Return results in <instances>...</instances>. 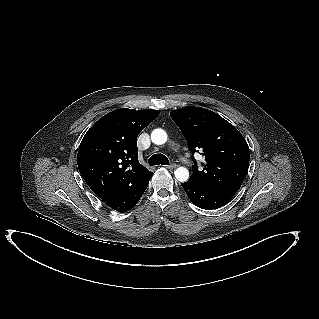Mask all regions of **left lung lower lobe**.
Wrapping results in <instances>:
<instances>
[{
  "label": "left lung lower lobe",
  "instance_id": "1",
  "mask_svg": "<svg viewBox=\"0 0 319 319\" xmlns=\"http://www.w3.org/2000/svg\"><path fill=\"white\" fill-rule=\"evenodd\" d=\"M182 187L192 203L201 209L220 208L221 206L226 205L232 198V196L203 186L190 179L187 182L182 183Z\"/></svg>",
  "mask_w": 319,
  "mask_h": 319
}]
</instances>
